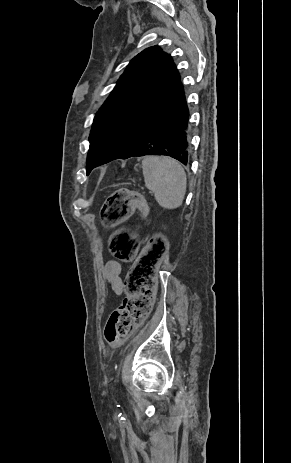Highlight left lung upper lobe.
Masks as SVG:
<instances>
[{"mask_svg": "<svg viewBox=\"0 0 291 463\" xmlns=\"http://www.w3.org/2000/svg\"><path fill=\"white\" fill-rule=\"evenodd\" d=\"M183 91L169 54L154 46L135 56L95 115L86 171L133 149L173 109Z\"/></svg>", "mask_w": 291, "mask_h": 463, "instance_id": "left-lung-upper-lobe-1", "label": "left lung upper lobe"}]
</instances>
